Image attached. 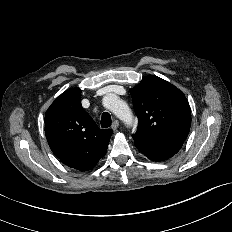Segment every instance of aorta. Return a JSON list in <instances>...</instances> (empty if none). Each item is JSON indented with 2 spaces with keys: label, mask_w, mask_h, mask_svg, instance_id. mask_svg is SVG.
<instances>
[{
  "label": "aorta",
  "mask_w": 232,
  "mask_h": 232,
  "mask_svg": "<svg viewBox=\"0 0 232 232\" xmlns=\"http://www.w3.org/2000/svg\"><path fill=\"white\" fill-rule=\"evenodd\" d=\"M103 105L110 109L126 126L132 127L134 117L129 106L115 94H108L103 98Z\"/></svg>",
  "instance_id": "1"
}]
</instances>
